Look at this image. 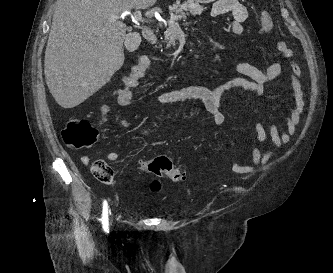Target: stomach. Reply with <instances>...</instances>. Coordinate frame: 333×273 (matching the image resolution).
Instances as JSON below:
<instances>
[{
	"mask_svg": "<svg viewBox=\"0 0 333 273\" xmlns=\"http://www.w3.org/2000/svg\"><path fill=\"white\" fill-rule=\"evenodd\" d=\"M197 3L207 4L213 2L214 0H195Z\"/></svg>",
	"mask_w": 333,
	"mask_h": 273,
	"instance_id": "obj_1",
	"label": "stomach"
}]
</instances>
